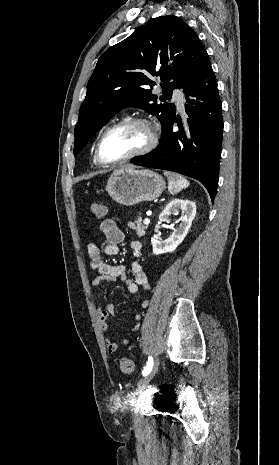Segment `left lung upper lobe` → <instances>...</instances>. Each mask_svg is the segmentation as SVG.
<instances>
[{"label":"left lung upper lobe","mask_w":279,"mask_h":465,"mask_svg":"<svg viewBox=\"0 0 279 465\" xmlns=\"http://www.w3.org/2000/svg\"><path fill=\"white\" fill-rule=\"evenodd\" d=\"M205 53L196 33L173 15L151 19L110 47L88 82L75 127L74 155L124 107H139L155 115L162 123L163 137L175 119V105L157 100L170 99L175 88L184 89ZM155 76L163 82L160 97L149 89L155 85Z\"/></svg>","instance_id":"left-lung-upper-lobe-1"}]
</instances>
